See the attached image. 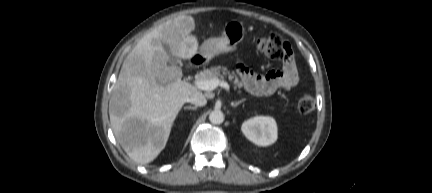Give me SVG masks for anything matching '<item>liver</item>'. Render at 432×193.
<instances>
[{
	"label": "liver",
	"mask_w": 432,
	"mask_h": 193,
	"mask_svg": "<svg viewBox=\"0 0 432 193\" xmlns=\"http://www.w3.org/2000/svg\"><path fill=\"white\" fill-rule=\"evenodd\" d=\"M191 16L168 20L145 35L123 62L109 101L113 133L139 164L152 162L165 148L173 122L196 88L182 81V70L169 66L170 52L182 59L198 53Z\"/></svg>",
	"instance_id": "obj_1"
}]
</instances>
